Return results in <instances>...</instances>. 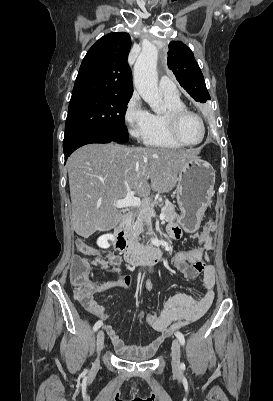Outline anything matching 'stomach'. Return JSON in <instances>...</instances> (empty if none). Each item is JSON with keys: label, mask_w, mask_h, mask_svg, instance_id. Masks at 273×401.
Listing matches in <instances>:
<instances>
[{"label": "stomach", "mask_w": 273, "mask_h": 401, "mask_svg": "<svg viewBox=\"0 0 273 401\" xmlns=\"http://www.w3.org/2000/svg\"><path fill=\"white\" fill-rule=\"evenodd\" d=\"M215 170L207 160H189L177 176L176 198L181 211L177 217L185 233H195L213 196Z\"/></svg>", "instance_id": "obj_1"}]
</instances>
